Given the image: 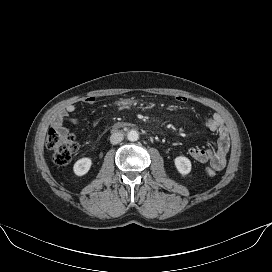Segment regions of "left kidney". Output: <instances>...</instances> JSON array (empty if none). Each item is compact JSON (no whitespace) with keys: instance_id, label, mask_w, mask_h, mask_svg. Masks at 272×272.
Returning <instances> with one entry per match:
<instances>
[{"instance_id":"1","label":"left kidney","mask_w":272,"mask_h":272,"mask_svg":"<svg viewBox=\"0 0 272 272\" xmlns=\"http://www.w3.org/2000/svg\"><path fill=\"white\" fill-rule=\"evenodd\" d=\"M175 167L178 170V172L182 175H187L191 171V161L184 156H178L174 160Z\"/></svg>"}]
</instances>
